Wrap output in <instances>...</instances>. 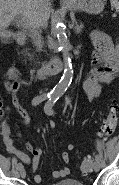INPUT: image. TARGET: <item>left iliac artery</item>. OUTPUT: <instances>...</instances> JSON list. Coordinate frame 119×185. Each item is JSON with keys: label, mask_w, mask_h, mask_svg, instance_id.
Segmentation results:
<instances>
[{"label": "left iliac artery", "mask_w": 119, "mask_h": 185, "mask_svg": "<svg viewBox=\"0 0 119 185\" xmlns=\"http://www.w3.org/2000/svg\"><path fill=\"white\" fill-rule=\"evenodd\" d=\"M58 99H59V96L50 98L47 101V103L44 106V111H45L46 114H48V115L54 114V112H53V106H54V104L56 103V101ZM95 158L101 160V156L98 155V154L95 156Z\"/></svg>", "instance_id": "left-iliac-artery-1"}]
</instances>
